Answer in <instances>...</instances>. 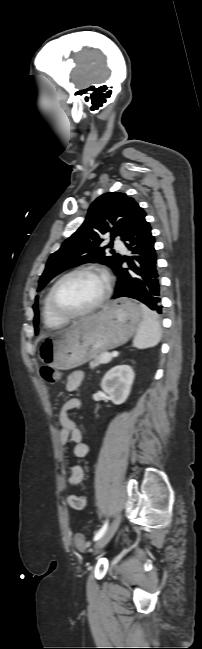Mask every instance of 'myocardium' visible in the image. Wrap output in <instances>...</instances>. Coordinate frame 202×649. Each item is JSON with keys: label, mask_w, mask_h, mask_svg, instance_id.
<instances>
[{"label": "myocardium", "mask_w": 202, "mask_h": 649, "mask_svg": "<svg viewBox=\"0 0 202 649\" xmlns=\"http://www.w3.org/2000/svg\"><path fill=\"white\" fill-rule=\"evenodd\" d=\"M82 273L100 275L103 278L104 283H105L104 291H103L102 295L100 296V298L93 305L88 307L87 309H84V310H81V311H69V310H66L58 303L57 298H56V291H57L59 285L65 279H67V278H69V277H71L73 275L82 274ZM110 294H111V278H110V276L108 275V273L105 270H103L101 268H98V267H95V266H81V267H77V268H74V269L66 272L59 279H57V281L52 285V287H51V289L49 291V303H50L52 311L58 317L64 318V319H75V318H79V317L89 315V314L95 312L96 310H98L107 301Z\"/></svg>", "instance_id": "obj_1"}]
</instances>
